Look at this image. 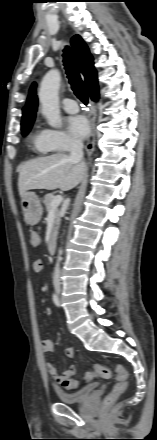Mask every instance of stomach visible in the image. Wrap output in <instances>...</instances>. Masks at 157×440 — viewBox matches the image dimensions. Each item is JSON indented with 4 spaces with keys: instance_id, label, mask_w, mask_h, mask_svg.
<instances>
[{
    "instance_id": "1",
    "label": "stomach",
    "mask_w": 157,
    "mask_h": 440,
    "mask_svg": "<svg viewBox=\"0 0 157 440\" xmlns=\"http://www.w3.org/2000/svg\"><path fill=\"white\" fill-rule=\"evenodd\" d=\"M21 207L25 221L30 225L37 224L42 216L43 208L38 196L33 192H26L21 198Z\"/></svg>"
}]
</instances>
